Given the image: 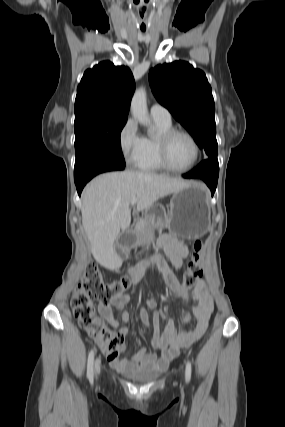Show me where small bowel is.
Wrapping results in <instances>:
<instances>
[{"label":"small bowel","instance_id":"obj_1","mask_svg":"<svg viewBox=\"0 0 285 427\" xmlns=\"http://www.w3.org/2000/svg\"><path fill=\"white\" fill-rule=\"evenodd\" d=\"M157 244L162 248L176 268L183 266V260L189 255L187 245L172 234H163L158 238ZM149 261H156L159 269L163 274L166 284L171 291L184 301H188V292L178 282L172 271L169 269L166 261L159 255H154L148 260L137 262L129 269V280L131 285L138 284L145 271L146 264ZM192 299L196 302L191 312H186L181 322L184 324L190 323L192 316L195 318V323L187 331H177L175 321L168 318L164 329H160V319L167 316L157 308V303L153 299H148L144 305L140 307L139 316L145 326L149 325V316L147 309L153 310V330L151 336V344L157 352H148L145 348H141L130 358L119 359L118 355L115 358H109L111 365L125 371H162L166 369L171 360L178 354L180 349L190 347L197 341L207 330L210 316L213 312V301L209 294L207 284L200 280L193 289ZM131 301L130 295L121 293L114 295L111 298L110 304L120 311V319H116L111 310L110 304L99 303L98 310L101 316L113 328L118 329V333L122 338L129 335L130 331L124 325L129 319V314L125 311V306ZM103 349V348H102ZM125 346L122 344L119 351L124 352Z\"/></svg>","mask_w":285,"mask_h":427}]
</instances>
